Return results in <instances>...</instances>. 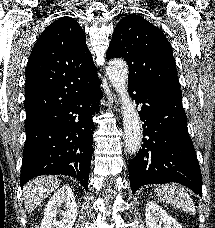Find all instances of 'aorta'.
Listing matches in <instances>:
<instances>
[{
	"mask_svg": "<svg viewBox=\"0 0 215 228\" xmlns=\"http://www.w3.org/2000/svg\"><path fill=\"white\" fill-rule=\"evenodd\" d=\"M128 66L124 60H112L107 66V76L120 96L125 146L128 154H136L142 144V124L128 92Z\"/></svg>",
	"mask_w": 215,
	"mask_h": 228,
	"instance_id": "1",
	"label": "aorta"
}]
</instances>
